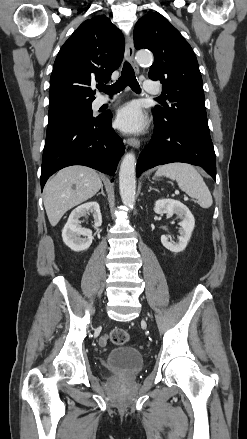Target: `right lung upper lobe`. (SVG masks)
I'll use <instances>...</instances> for the list:
<instances>
[{
  "label": "right lung upper lobe",
  "instance_id": "1",
  "mask_svg": "<svg viewBox=\"0 0 247 439\" xmlns=\"http://www.w3.org/2000/svg\"><path fill=\"white\" fill-rule=\"evenodd\" d=\"M124 54L121 31L104 16L84 21L63 44L50 78L49 111L92 102L91 85L108 82Z\"/></svg>",
  "mask_w": 247,
  "mask_h": 439
}]
</instances>
